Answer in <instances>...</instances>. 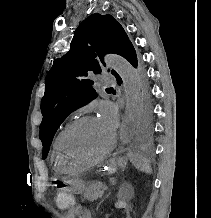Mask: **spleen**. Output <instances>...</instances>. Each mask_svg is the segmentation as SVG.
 I'll use <instances>...</instances> for the list:
<instances>
[{"label":"spleen","instance_id":"spleen-1","mask_svg":"<svg viewBox=\"0 0 211 218\" xmlns=\"http://www.w3.org/2000/svg\"><path fill=\"white\" fill-rule=\"evenodd\" d=\"M128 158L136 170H139V172H145V174H151L152 170L150 160H147L145 156H141V154H132V152H130Z\"/></svg>","mask_w":211,"mask_h":218}]
</instances>
